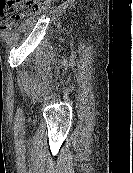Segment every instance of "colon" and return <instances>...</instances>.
Here are the masks:
<instances>
[{
	"label": "colon",
	"instance_id": "5ec220e1",
	"mask_svg": "<svg viewBox=\"0 0 133 173\" xmlns=\"http://www.w3.org/2000/svg\"><path fill=\"white\" fill-rule=\"evenodd\" d=\"M54 0H0V29L12 28L22 17L37 12Z\"/></svg>",
	"mask_w": 133,
	"mask_h": 173
}]
</instances>
